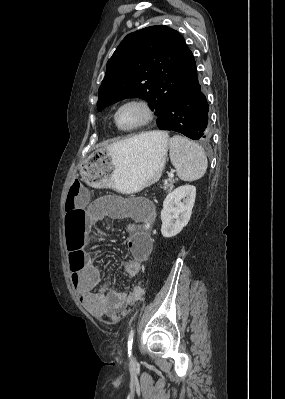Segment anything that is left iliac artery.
Listing matches in <instances>:
<instances>
[{"label":"left iliac artery","mask_w":285,"mask_h":399,"mask_svg":"<svg viewBox=\"0 0 285 399\" xmlns=\"http://www.w3.org/2000/svg\"><path fill=\"white\" fill-rule=\"evenodd\" d=\"M134 330H131L128 336V356L132 354V344H133Z\"/></svg>","instance_id":"left-iliac-artery-1"}]
</instances>
